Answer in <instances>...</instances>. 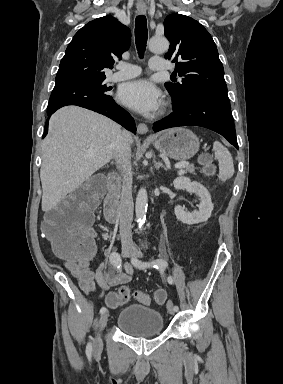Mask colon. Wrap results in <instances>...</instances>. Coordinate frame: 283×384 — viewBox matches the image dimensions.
<instances>
[{"instance_id":"colon-1","label":"colon","mask_w":283,"mask_h":384,"mask_svg":"<svg viewBox=\"0 0 283 384\" xmlns=\"http://www.w3.org/2000/svg\"><path fill=\"white\" fill-rule=\"evenodd\" d=\"M203 164L207 173L213 172V166L207 157L203 158ZM103 189V179L94 178L69 193L47 213L42 225L43 233L61 258L80 261L93 256V211ZM134 296L143 304H150L152 301L162 304L166 300L163 290H157L152 295L136 291ZM129 297V289L122 287L117 292L107 294L106 304L109 308H117L126 303Z\"/></svg>"}]
</instances>
